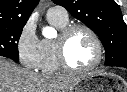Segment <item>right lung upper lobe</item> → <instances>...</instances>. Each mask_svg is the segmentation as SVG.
<instances>
[{"instance_id": "1", "label": "right lung upper lobe", "mask_w": 127, "mask_h": 92, "mask_svg": "<svg viewBox=\"0 0 127 92\" xmlns=\"http://www.w3.org/2000/svg\"><path fill=\"white\" fill-rule=\"evenodd\" d=\"M39 0H0V27L24 26Z\"/></svg>"}]
</instances>
